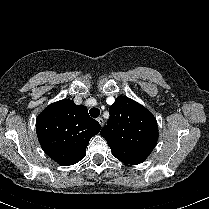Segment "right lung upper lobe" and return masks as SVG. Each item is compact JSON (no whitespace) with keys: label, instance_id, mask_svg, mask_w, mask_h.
Returning a JSON list of instances; mask_svg holds the SVG:
<instances>
[{"label":"right lung upper lobe","instance_id":"obj_1","mask_svg":"<svg viewBox=\"0 0 209 209\" xmlns=\"http://www.w3.org/2000/svg\"><path fill=\"white\" fill-rule=\"evenodd\" d=\"M100 129L86 107L66 99L50 104L36 119L41 147L51 159L64 166L85 157L91 137Z\"/></svg>","mask_w":209,"mask_h":209}]
</instances>
